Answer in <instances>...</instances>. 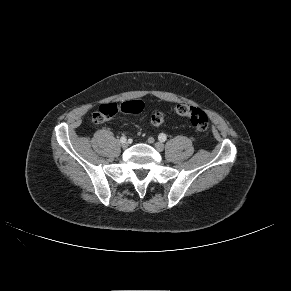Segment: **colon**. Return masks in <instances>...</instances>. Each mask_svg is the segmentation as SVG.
I'll use <instances>...</instances> for the list:
<instances>
[{
	"label": "colon",
	"instance_id": "1",
	"mask_svg": "<svg viewBox=\"0 0 291 291\" xmlns=\"http://www.w3.org/2000/svg\"><path fill=\"white\" fill-rule=\"evenodd\" d=\"M144 109V103L140 100H129L121 104L106 103L102 104L93 114V121L102 123L110 120L118 113L138 114ZM175 112L182 117L189 119L192 126L198 131H205L209 125V119L204 111L199 108L187 105L178 104L175 107ZM164 115L162 112H155L151 116V122L155 126H160L164 123Z\"/></svg>",
	"mask_w": 291,
	"mask_h": 291
}]
</instances>
